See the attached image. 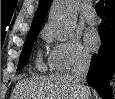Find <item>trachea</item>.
Instances as JSON below:
<instances>
[{"label": "trachea", "instance_id": "obj_1", "mask_svg": "<svg viewBox=\"0 0 115 99\" xmlns=\"http://www.w3.org/2000/svg\"><path fill=\"white\" fill-rule=\"evenodd\" d=\"M96 12L98 15H103L104 14V0H100L96 4Z\"/></svg>", "mask_w": 115, "mask_h": 99}]
</instances>
